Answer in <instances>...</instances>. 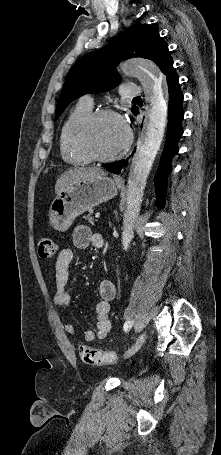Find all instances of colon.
<instances>
[{
	"instance_id": "obj_1",
	"label": "colon",
	"mask_w": 221,
	"mask_h": 455,
	"mask_svg": "<svg viewBox=\"0 0 221 455\" xmlns=\"http://www.w3.org/2000/svg\"><path fill=\"white\" fill-rule=\"evenodd\" d=\"M38 253L44 259H52L56 255V245L50 236L42 235L38 240ZM82 361L89 365L104 366L114 364L118 356L114 352L93 349L82 345L79 348Z\"/></svg>"
}]
</instances>
